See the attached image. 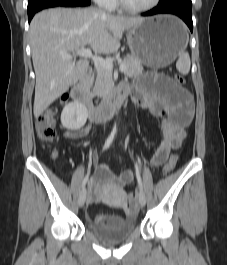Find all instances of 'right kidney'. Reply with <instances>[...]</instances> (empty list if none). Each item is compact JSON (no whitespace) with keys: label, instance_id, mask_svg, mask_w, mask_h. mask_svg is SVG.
Here are the masks:
<instances>
[{"label":"right kidney","instance_id":"ca27d5eb","mask_svg":"<svg viewBox=\"0 0 227 265\" xmlns=\"http://www.w3.org/2000/svg\"><path fill=\"white\" fill-rule=\"evenodd\" d=\"M87 118V108L79 102H71L62 111L61 123L64 128L76 131L85 125Z\"/></svg>","mask_w":227,"mask_h":265}]
</instances>
